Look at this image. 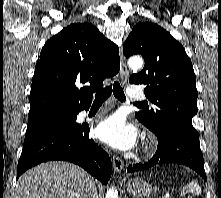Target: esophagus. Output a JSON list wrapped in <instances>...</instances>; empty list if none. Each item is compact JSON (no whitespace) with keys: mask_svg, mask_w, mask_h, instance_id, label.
<instances>
[{"mask_svg":"<svg viewBox=\"0 0 221 198\" xmlns=\"http://www.w3.org/2000/svg\"><path fill=\"white\" fill-rule=\"evenodd\" d=\"M120 65H121V67H120V80H121V83L123 85H125L128 80V77H129V70L127 68V65L125 62V57L123 55L121 48H120ZM112 162H113L114 171L121 172V170L123 169V166H124L123 160L120 157L114 155L112 158Z\"/></svg>","mask_w":221,"mask_h":198,"instance_id":"obj_1","label":"esophagus"}]
</instances>
